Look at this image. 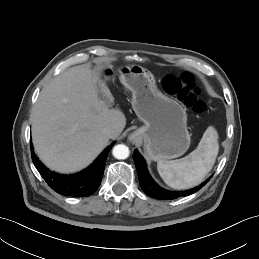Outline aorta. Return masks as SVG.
I'll use <instances>...</instances> for the list:
<instances>
[{"instance_id": "obj_1", "label": "aorta", "mask_w": 259, "mask_h": 259, "mask_svg": "<svg viewBox=\"0 0 259 259\" xmlns=\"http://www.w3.org/2000/svg\"><path fill=\"white\" fill-rule=\"evenodd\" d=\"M112 154L116 159H126L129 156V148L123 144L116 145Z\"/></svg>"}]
</instances>
